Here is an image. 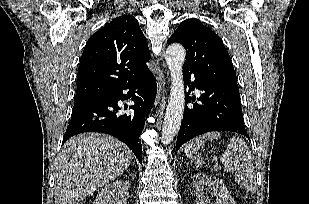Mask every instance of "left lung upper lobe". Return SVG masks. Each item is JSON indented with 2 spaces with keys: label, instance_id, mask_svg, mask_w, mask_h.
Listing matches in <instances>:
<instances>
[{
  "label": "left lung upper lobe",
  "instance_id": "left-lung-upper-lobe-1",
  "mask_svg": "<svg viewBox=\"0 0 309 204\" xmlns=\"http://www.w3.org/2000/svg\"><path fill=\"white\" fill-rule=\"evenodd\" d=\"M186 49L183 69L200 71L219 80L237 83L231 58L220 37L198 19L182 21L168 39Z\"/></svg>",
  "mask_w": 309,
  "mask_h": 204
}]
</instances>
